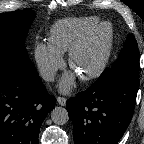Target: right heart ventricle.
<instances>
[{
  "instance_id": "obj_1",
  "label": "right heart ventricle",
  "mask_w": 144,
  "mask_h": 144,
  "mask_svg": "<svg viewBox=\"0 0 144 144\" xmlns=\"http://www.w3.org/2000/svg\"><path fill=\"white\" fill-rule=\"evenodd\" d=\"M100 23L97 17L66 18L57 21L50 29L48 41L60 54L69 51L72 44L87 30Z\"/></svg>"
}]
</instances>
